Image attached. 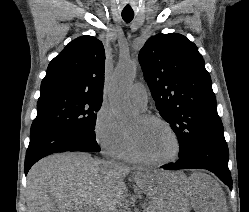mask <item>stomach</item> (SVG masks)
I'll list each match as a JSON object with an SVG mask.
<instances>
[{"instance_id":"1","label":"stomach","mask_w":249,"mask_h":212,"mask_svg":"<svg viewBox=\"0 0 249 212\" xmlns=\"http://www.w3.org/2000/svg\"><path fill=\"white\" fill-rule=\"evenodd\" d=\"M182 170H147V175H139L143 184L144 193L150 199V204H161L162 212H185L191 206L186 204L190 201L191 179H185Z\"/></svg>"}]
</instances>
